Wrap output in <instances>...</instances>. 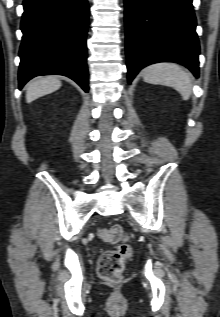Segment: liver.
I'll return each instance as SVG.
<instances>
[{
    "mask_svg": "<svg viewBox=\"0 0 220 317\" xmlns=\"http://www.w3.org/2000/svg\"><path fill=\"white\" fill-rule=\"evenodd\" d=\"M61 87V81L55 76L40 77L32 81L26 90V101L31 103L32 101L50 94Z\"/></svg>",
    "mask_w": 220,
    "mask_h": 317,
    "instance_id": "liver-1",
    "label": "liver"
}]
</instances>
